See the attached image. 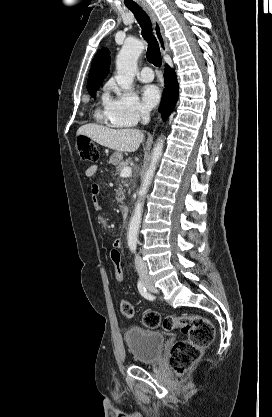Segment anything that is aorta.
Listing matches in <instances>:
<instances>
[{"label": "aorta", "mask_w": 272, "mask_h": 417, "mask_svg": "<svg viewBox=\"0 0 272 417\" xmlns=\"http://www.w3.org/2000/svg\"><path fill=\"white\" fill-rule=\"evenodd\" d=\"M144 50V43L136 39H127L116 58V81L124 90H130L137 71V60ZM164 140L159 138L155 144L149 168L147 169L142 185L139 189V199L136 203L133 216L131 217L127 242L132 253H135L138 241V233L144 206V198L151 185L156 167L163 151Z\"/></svg>", "instance_id": "1"}]
</instances>
